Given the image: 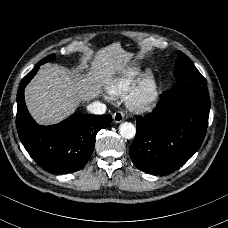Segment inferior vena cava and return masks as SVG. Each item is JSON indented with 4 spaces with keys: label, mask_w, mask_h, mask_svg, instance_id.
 <instances>
[{
    "label": "inferior vena cava",
    "mask_w": 228,
    "mask_h": 228,
    "mask_svg": "<svg viewBox=\"0 0 228 228\" xmlns=\"http://www.w3.org/2000/svg\"><path fill=\"white\" fill-rule=\"evenodd\" d=\"M88 112L96 115H102L106 112V105L101 102H93L87 106Z\"/></svg>",
    "instance_id": "inferior-vena-cava-1"
}]
</instances>
